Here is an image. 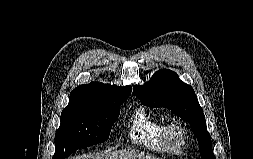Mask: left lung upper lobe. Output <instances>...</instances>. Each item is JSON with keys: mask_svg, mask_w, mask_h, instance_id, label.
Returning <instances> with one entry per match:
<instances>
[{"mask_svg": "<svg viewBox=\"0 0 253 159\" xmlns=\"http://www.w3.org/2000/svg\"><path fill=\"white\" fill-rule=\"evenodd\" d=\"M133 92L147 107H164L190 123L199 142L202 159H216L207 131L203 109L200 107L193 88L182 82L178 75L167 69L157 71L149 82L134 85Z\"/></svg>", "mask_w": 253, "mask_h": 159, "instance_id": "1", "label": "left lung upper lobe"}]
</instances>
